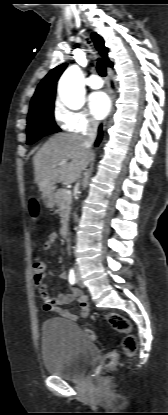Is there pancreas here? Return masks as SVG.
<instances>
[{"label":"pancreas","mask_w":168,"mask_h":415,"mask_svg":"<svg viewBox=\"0 0 168 415\" xmlns=\"http://www.w3.org/2000/svg\"><path fill=\"white\" fill-rule=\"evenodd\" d=\"M65 191L66 190L61 189V190H57L54 193V201L60 210V219H61L60 222L62 224L68 221L69 213L71 209V202H72L71 194L68 195L65 193Z\"/></svg>","instance_id":"cf45deb5"}]
</instances>
